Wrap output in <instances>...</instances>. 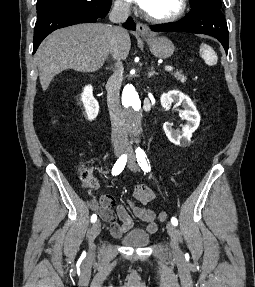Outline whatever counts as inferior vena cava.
I'll list each match as a JSON object with an SVG mask.
<instances>
[{
	"label": "inferior vena cava",
	"instance_id": "1",
	"mask_svg": "<svg viewBox=\"0 0 255 287\" xmlns=\"http://www.w3.org/2000/svg\"><path fill=\"white\" fill-rule=\"evenodd\" d=\"M129 14L130 4H125V2L117 0L109 16V20L110 22H113V24H123V22H126ZM124 32L125 30H123V28H118V26H112L110 30L111 40L109 42V50L115 64L113 68L114 74L109 78L106 84V90L108 110L112 124V144L114 147H127L128 144V132L124 126L119 100V90L121 88L124 70L121 62L119 42Z\"/></svg>",
	"mask_w": 255,
	"mask_h": 287
}]
</instances>
